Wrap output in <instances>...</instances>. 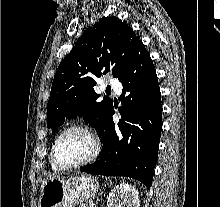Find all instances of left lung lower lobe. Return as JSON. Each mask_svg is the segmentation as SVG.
Returning a JSON list of instances; mask_svg holds the SVG:
<instances>
[{"mask_svg": "<svg viewBox=\"0 0 220 207\" xmlns=\"http://www.w3.org/2000/svg\"><path fill=\"white\" fill-rule=\"evenodd\" d=\"M117 78L123 84L122 120L114 125L112 105L98 132L101 153L82 170L132 177L150 188L162 130V105L156 70L142 42Z\"/></svg>", "mask_w": 220, "mask_h": 207, "instance_id": "0a47b994", "label": "left lung lower lobe"}]
</instances>
